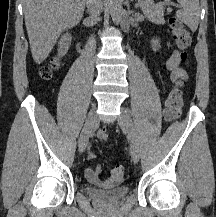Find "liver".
<instances>
[{
	"mask_svg": "<svg viewBox=\"0 0 216 217\" xmlns=\"http://www.w3.org/2000/svg\"><path fill=\"white\" fill-rule=\"evenodd\" d=\"M86 0H24L25 25L37 64L52 51L59 35L82 19Z\"/></svg>",
	"mask_w": 216,
	"mask_h": 217,
	"instance_id": "1",
	"label": "liver"
}]
</instances>
